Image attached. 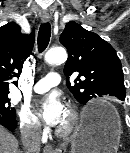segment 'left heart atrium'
Here are the masks:
<instances>
[{"label":"left heart atrium","instance_id":"obj_1","mask_svg":"<svg viewBox=\"0 0 130 153\" xmlns=\"http://www.w3.org/2000/svg\"><path fill=\"white\" fill-rule=\"evenodd\" d=\"M39 110L43 121L50 126H57L65 113L63 103L54 93L47 95L40 102Z\"/></svg>","mask_w":130,"mask_h":153}]
</instances>
